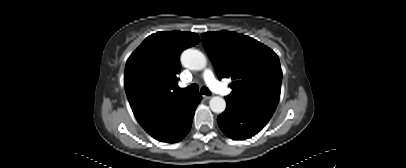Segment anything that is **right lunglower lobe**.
<instances>
[{
  "label": "right lung lower lobe",
  "instance_id": "1",
  "mask_svg": "<svg viewBox=\"0 0 406 168\" xmlns=\"http://www.w3.org/2000/svg\"><path fill=\"white\" fill-rule=\"evenodd\" d=\"M201 99V94H192L170 120L152 136L159 141L168 143H175L184 138L190 131L195 109Z\"/></svg>",
  "mask_w": 406,
  "mask_h": 168
}]
</instances>
